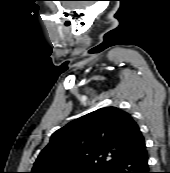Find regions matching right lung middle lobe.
<instances>
[{
	"instance_id": "dd1d6c3e",
	"label": "right lung middle lobe",
	"mask_w": 170,
	"mask_h": 173,
	"mask_svg": "<svg viewBox=\"0 0 170 173\" xmlns=\"http://www.w3.org/2000/svg\"><path fill=\"white\" fill-rule=\"evenodd\" d=\"M106 169L93 168L87 170L71 171V173H105Z\"/></svg>"
}]
</instances>
